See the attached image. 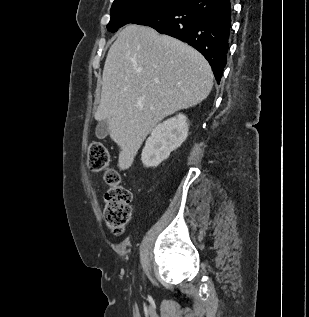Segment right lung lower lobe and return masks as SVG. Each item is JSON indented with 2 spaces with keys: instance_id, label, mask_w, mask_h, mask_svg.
I'll return each mask as SVG.
<instances>
[{
  "instance_id": "right-lung-lower-lobe-1",
  "label": "right lung lower lobe",
  "mask_w": 309,
  "mask_h": 317,
  "mask_svg": "<svg viewBox=\"0 0 309 317\" xmlns=\"http://www.w3.org/2000/svg\"><path fill=\"white\" fill-rule=\"evenodd\" d=\"M131 23L146 25L184 41L208 60L219 82L227 63L230 0H184L144 14Z\"/></svg>"
}]
</instances>
